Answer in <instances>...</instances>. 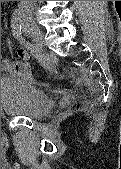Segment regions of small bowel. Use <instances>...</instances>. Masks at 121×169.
Segmentation results:
<instances>
[{"label":"small bowel","mask_w":121,"mask_h":169,"mask_svg":"<svg viewBox=\"0 0 121 169\" xmlns=\"http://www.w3.org/2000/svg\"><path fill=\"white\" fill-rule=\"evenodd\" d=\"M1 71L4 74L21 77L24 80H31L32 78L31 68L29 64L21 61L4 59L1 64Z\"/></svg>","instance_id":"obj_1"}]
</instances>
